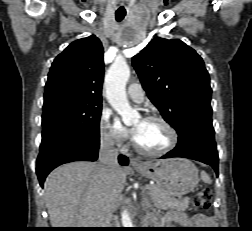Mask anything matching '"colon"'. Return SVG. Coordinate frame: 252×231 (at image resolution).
<instances>
[{"label":"colon","instance_id":"obj_1","mask_svg":"<svg viewBox=\"0 0 252 231\" xmlns=\"http://www.w3.org/2000/svg\"><path fill=\"white\" fill-rule=\"evenodd\" d=\"M212 202V191L208 188L201 189L196 192L192 201L193 209L208 210Z\"/></svg>","mask_w":252,"mask_h":231}]
</instances>
